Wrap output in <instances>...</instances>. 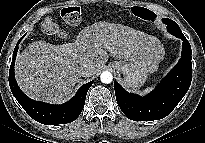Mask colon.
Masks as SVG:
<instances>
[{
  "label": "colon",
  "instance_id": "colon-1",
  "mask_svg": "<svg viewBox=\"0 0 205 143\" xmlns=\"http://www.w3.org/2000/svg\"><path fill=\"white\" fill-rule=\"evenodd\" d=\"M131 12L137 18L145 21H154L157 15L150 9L136 6L131 9ZM60 15L65 23L71 26H76L81 22V9L78 6H68L61 10ZM41 30L51 36L65 38L66 32L62 30L54 17L48 16L41 23Z\"/></svg>",
  "mask_w": 205,
  "mask_h": 143
}]
</instances>
